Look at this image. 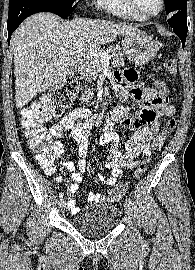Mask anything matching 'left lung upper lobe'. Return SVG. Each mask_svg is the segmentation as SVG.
<instances>
[{
    "mask_svg": "<svg viewBox=\"0 0 195 270\" xmlns=\"http://www.w3.org/2000/svg\"><path fill=\"white\" fill-rule=\"evenodd\" d=\"M164 3L168 15L179 10L187 11V0H164Z\"/></svg>",
    "mask_w": 195,
    "mask_h": 270,
    "instance_id": "5c2ea615",
    "label": "left lung upper lobe"
}]
</instances>
